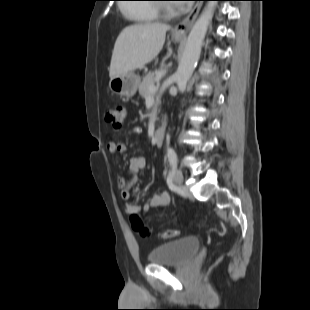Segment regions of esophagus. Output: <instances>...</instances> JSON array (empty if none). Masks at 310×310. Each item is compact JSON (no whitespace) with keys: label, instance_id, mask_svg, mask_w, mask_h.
<instances>
[{"label":"esophagus","instance_id":"1","mask_svg":"<svg viewBox=\"0 0 310 310\" xmlns=\"http://www.w3.org/2000/svg\"><path fill=\"white\" fill-rule=\"evenodd\" d=\"M201 6V2L196 3L191 12L173 28L172 32L175 36L185 37L187 35L201 9Z\"/></svg>","mask_w":310,"mask_h":310}]
</instances>
